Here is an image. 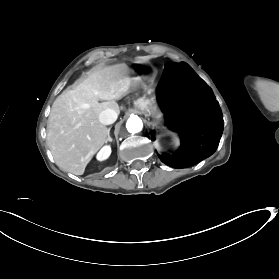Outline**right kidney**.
<instances>
[{
    "instance_id": "obj_1",
    "label": "right kidney",
    "mask_w": 279,
    "mask_h": 279,
    "mask_svg": "<svg viewBox=\"0 0 279 279\" xmlns=\"http://www.w3.org/2000/svg\"><path fill=\"white\" fill-rule=\"evenodd\" d=\"M111 154V147L110 145L104 146L97 154L96 158L98 161L106 160Z\"/></svg>"
}]
</instances>
